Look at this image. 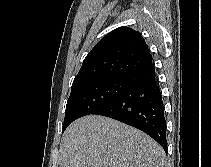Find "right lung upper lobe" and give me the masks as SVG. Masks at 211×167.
<instances>
[{
  "label": "right lung upper lobe",
  "mask_w": 211,
  "mask_h": 167,
  "mask_svg": "<svg viewBox=\"0 0 211 167\" xmlns=\"http://www.w3.org/2000/svg\"><path fill=\"white\" fill-rule=\"evenodd\" d=\"M152 65L148 45L138 31L122 26L89 52L72 87L102 77H129Z\"/></svg>",
  "instance_id": "obj_1"
}]
</instances>
